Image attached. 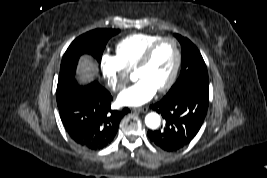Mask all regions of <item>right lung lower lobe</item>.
<instances>
[{"mask_svg":"<svg viewBox=\"0 0 267 178\" xmlns=\"http://www.w3.org/2000/svg\"><path fill=\"white\" fill-rule=\"evenodd\" d=\"M56 97L65 130L76 144L89 150L106 147L130 111L111 110V94L96 81L80 86L74 77L60 79Z\"/></svg>","mask_w":267,"mask_h":178,"instance_id":"1","label":"right lung lower lobe"}]
</instances>
